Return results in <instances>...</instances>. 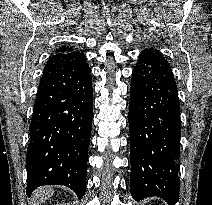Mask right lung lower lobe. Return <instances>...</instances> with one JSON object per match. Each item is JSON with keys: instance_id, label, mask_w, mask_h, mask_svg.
<instances>
[{"instance_id": "obj_1", "label": "right lung lower lobe", "mask_w": 212, "mask_h": 205, "mask_svg": "<svg viewBox=\"0 0 212 205\" xmlns=\"http://www.w3.org/2000/svg\"><path fill=\"white\" fill-rule=\"evenodd\" d=\"M92 116V76L85 55L54 54L40 79L29 127L28 196L42 185H65L83 197Z\"/></svg>"}]
</instances>
